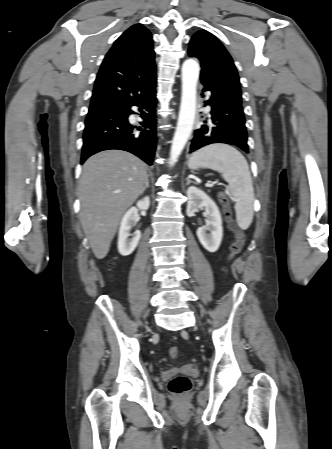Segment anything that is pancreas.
I'll return each instance as SVG.
<instances>
[{"instance_id":"obj_1","label":"pancreas","mask_w":332,"mask_h":449,"mask_svg":"<svg viewBox=\"0 0 332 449\" xmlns=\"http://www.w3.org/2000/svg\"><path fill=\"white\" fill-rule=\"evenodd\" d=\"M222 196H223V194H222V193H219V194H218V197H222Z\"/></svg>"}]
</instances>
